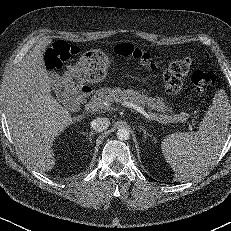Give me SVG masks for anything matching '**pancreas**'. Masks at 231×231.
<instances>
[{
  "instance_id": "1",
  "label": "pancreas",
  "mask_w": 231,
  "mask_h": 231,
  "mask_svg": "<svg viewBox=\"0 0 231 231\" xmlns=\"http://www.w3.org/2000/svg\"><path fill=\"white\" fill-rule=\"evenodd\" d=\"M91 101H106V102H116L124 105L125 103H133L141 108H148L155 110L157 112H161L164 114L151 113L155 114L160 122L168 123V122H176L174 119L176 115L167 114L168 112H172V108L168 107L162 99L149 97L145 93H141L140 91H136L133 89H124V88H110L103 87L96 90L95 95L91 98Z\"/></svg>"
}]
</instances>
